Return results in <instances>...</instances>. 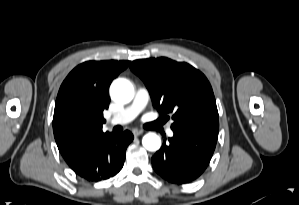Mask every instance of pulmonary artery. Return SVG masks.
Returning a JSON list of instances; mask_svg holds the SVG:
<instances>
[{
  "instance_id": "pulmonary-artery-1",
  "label": "pulmonary artery",
  "mask_w": 299,
  "mask_h": 205,
  "mask_svg": "<svg viewBox=\"0 0 299 205\" xmlns=\"http://www.w3.org/2000/svg\"><path fill=\"white\" fill-rule=\"evenodd\" d=\"M149 101V92L146 88H139L136 93L133 102L112 117L108 124L109 125H123L134 120L140 112L146 107ZM168 135L173 136V132L169 129Z\"/></svg>"
}]
</instances>
